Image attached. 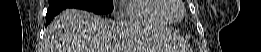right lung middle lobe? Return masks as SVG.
<instances>
[{"label": "right lung middle lobe", "instance_id": "right-lung-middle-lobe-1", "mask_svg": "<svg viewBox=\"0 0 261 52\" xmlns=\"http://www.w3.org/2000/svg\"><path fill=\"white\" fill-rule=\"evenodd\" d=\"M79 8L96 14H106L113 10L112 0H49V8Z\"/></svg>", "mask_w": 261, "mask_h": 52}]
</instances>
